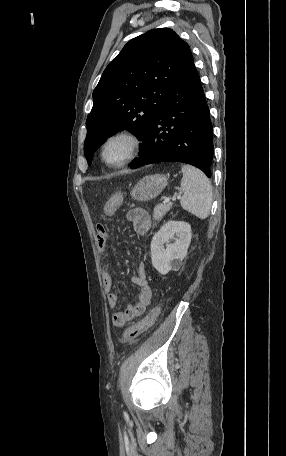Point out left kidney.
<instances>
[{"label":"left kidney","instance_id":"1","mask_svg":"<svg viewBox=\"0 0 286 456\" xmlns=\"http://www.w3.org/2000/svg\"><path fill=\"white\" fill-rule=\"evenodd\" d=\"M176 236V238H174ZM175 242L167 245L170 239ZM191 242V226L184 221H168L154 235L151 241V260L153 267L162 275L170 270H178L187 254Z\"/></svg>","mask_w":286,"mask_h":456}]
</instances>
